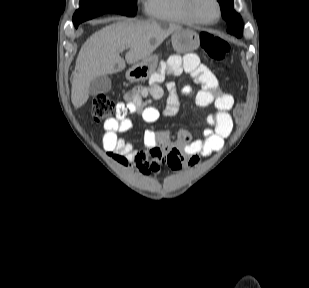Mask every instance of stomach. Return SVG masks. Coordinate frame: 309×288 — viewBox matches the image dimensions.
Masks as SVG:
<instances>
[{"label": "stomach", "mask_w": 309, "mask_h": 288, "mask_svg": "<svg viewBox=\"0 0 309 288\" xmlns=\"http://www.w3.org/2000/svg\"><path fill=\"white\" fill-rule=\"evenodd\" d=\"M171 40L172 46L177 53L193 52L200 45L198 33L188 28H179L175 30ZM157 64L158 56L150 55L129 68L126 72V78L130 82L145 81L156 70Z\"/></svg>", "instance_id": "obj_1"}]
</instances>
